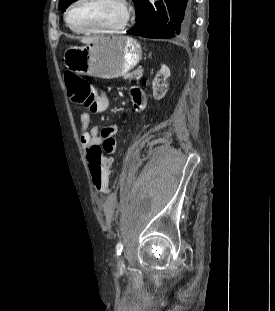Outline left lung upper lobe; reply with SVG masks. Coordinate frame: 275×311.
Returning <instances> with one entry per match:
<instances>
[{
  "label": "left lung upper lobe",
  "mask_w": 275,
  "mask_h": 311,
  "mask_svg": "<svg viewBox=\"0 0 275 311\" xmlns=\"http://www.w3.org/2000/svg\"><path fill=\"white\" fill-rule=\"evenodd\" d=\"M76 0H60L59 1V8L61 10V12L63 13L67 7L73 3ZM133 2L135 3V8H136V14L139 12L140 8L143 5L144 0H133Z\"/></svg>",
  "instance_id": "left-lung-upper-lobe-1"
}]
</instances>
